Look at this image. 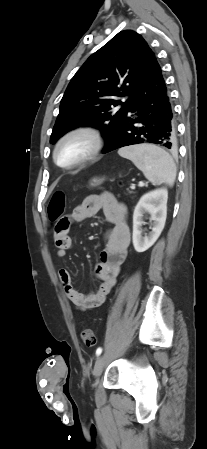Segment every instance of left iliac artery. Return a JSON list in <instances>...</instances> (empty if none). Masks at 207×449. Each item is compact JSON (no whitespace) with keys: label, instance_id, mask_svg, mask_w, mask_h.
Segmentation results:
<instances>
[{"label":"left iliac artery","instance_id":"1","mask_svg":"<svg viewBox=\"0 0 207 449\" xmlns=\"http://www.w3.org/2000/svg\"><path fill=\"white\" fill-rule=\"evenodd\" d=\"M101 353H102V348L101 347L97 348L96 355L99 356Z\"/></svg>","mask_w":207,"mask_h":449}]
</instances>
